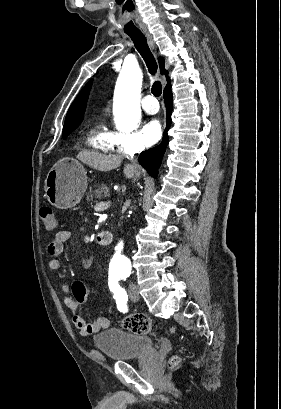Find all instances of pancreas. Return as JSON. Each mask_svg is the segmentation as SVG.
I'll return each instance as SVG.
<instances>
[{"label":"pancreas","instance_id":"1","mask_svg":"<svg viewBox=\"0 0 281 409\" xmlns=\"http://www.w3.org/2000/svg\"><path fill=\"white\" fill-rule=\"evenodd\" d=\"M110 193V190L106 184H99V186H96V190H89L87 192V198L88 200H92V198H103V196H108Z\"/></svg>","mask_w":281,"mask_h":409}]
</instances>
